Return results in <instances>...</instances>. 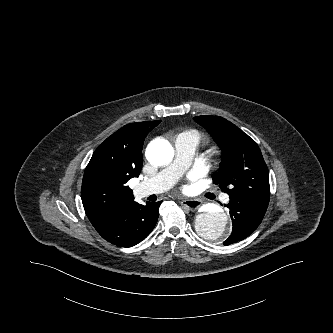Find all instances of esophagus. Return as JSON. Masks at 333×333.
<instances>
[{
  "mask_svg": "<svg viewBox=\"0 0 333 333\" xmlns=\"http://www.w3.org/2000/svg\"><path fill=\"white\" fill-rule=\"evenodd\" d=\"M181 204L190 211H196L201 206V201L196 199H182Z\"/></svg>",
  "mask_w": 333,
  "mask_h": 333,
  "instance_id": "obj_1",
  "label": "esophagus"
}]
</instances>
